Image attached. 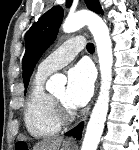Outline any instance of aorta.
Returning a JSON list of instances; mask_svg holds the SVG:
<instances>
[{
  "mask_svg": "<svg viewBox=\"0 0 139 150\" xmlns=\"http://www.w3.org/2000/svg\"><path fill=\"white\" fill-rule=\"evenodd\" d=\"M85 25L88 26L96 43L101 73V87L87 124L81 150H97L109 106L113 65L112 41L108 26L102 18L94 12L87 10L69 15L63 24V31L71 33L81 29ZM58 79L57 75L52 76L47 83V87L53 89L58 83ZM62 83H65V80H62Z\"/></svg>",
  "mask_w": 139,
  "mask_h": 150,
  "instance_id": "1",
  "label": "aorta"
}]
</instances>
